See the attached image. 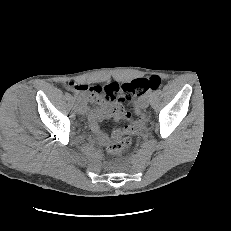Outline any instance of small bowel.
Wrapping results in <instances>:
<instances>
[{"mask_svg": "<svg viewBox=\"0 0 231 231\" xmlns=\"http://www.w3.org/2000/svg\"><path fill=\"white\" fill-rule=\"evenodd\" d=\"M116 85V83H110L104 88L72 82L65 85L67 89L84 96L93 105L88 115L89 123L98 141L103 145H106L111 138L119 139L126 134L135 132L138 128V125L119 128L114 130L111 136L100 128V123L103 120L112 119L117 122L128 120L132 116L130 112L124 109V102L126 101L124 98L113 99L110 96V87Z\"/></svg>", "mask_w": 231, "mask_h": 231, "instance_id": "1", "label": "small bowel"}]
</instances>
